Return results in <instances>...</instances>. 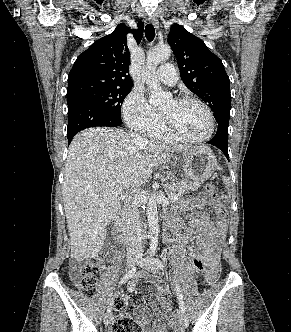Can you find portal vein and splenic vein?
Wrapping results in <instances>:
<instances>
[{"mask_svg":"<svg viewBox=\"0 0 291 332\" xmlns=\"http://www.w3.org/2000/svg\"><path fill=\"white\" fill-rule=\"evenodd\" d=\"M126 196H123V198H125ZM178 199V196H175V197H172V198H170V200H177Z\"/></svg>","mask_w":291,"mask_h":332,"instance_id":"portal-vein-and-splenic-vein-1","label":"portal vein and splenic vein"}]
</instances>
